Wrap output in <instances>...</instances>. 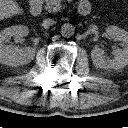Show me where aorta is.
I'll use <instances>...</instances> for the list:
<instances>
[{
  "instance_id": "obj_1",
  "label": "aorta",
  "mask_w": 128,
  "mask_h": 128,
  "mask_svg": "<svg viewBox=\"0 0 128 128\" xmlns=\"http://www.w3.org/2000/svg\"><path fill=\"white\" fill-rule=\"evenodd\" d=\"M74 32V28L71 24L65 23L61 26V34L63 36H71Z\"/></svg>"
}]
</instances>
